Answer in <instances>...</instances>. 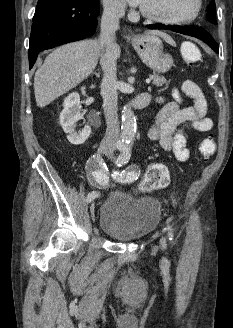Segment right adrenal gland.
<instances>
[{
  "mask_svg": "<svg viewBox=\"0 0 233 328\" xmlns=\"http://www.w3.org/2000/svg\"><path fill=\"white\" fill-rule=\"evenodd\" d=\"M93 74H94L97 78H100V74H99V73L93 72Z\"/></svg>",
  "mask_w": 233,
  "mask_h": 328,
  "instance_id": "1",
  "label": "right adrenal gland"
}]
</instances>
